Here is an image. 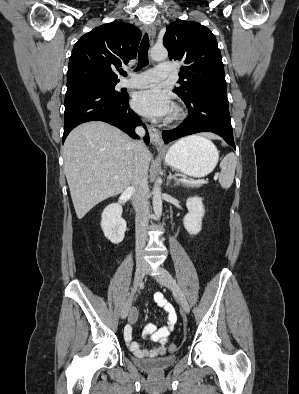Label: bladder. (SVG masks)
<instances>
[{"label":"bladder","mask_w":299,"mask_h":394,"mask_svg":"<svg viewBox=\"0 0 299 394\" xmlns=\"http://www.w3.org/2000/svg\"><path fill=\"white\" fill-rule=\"evenodd\" d=\"M176 361V355H166L150 359L136 358L135 363L149 373H161L170 368Z\"/></svg>","instance_id":"obj_1"}]
</instances>
